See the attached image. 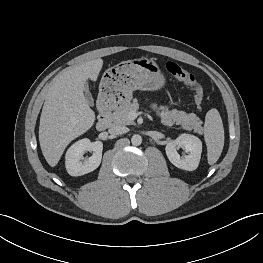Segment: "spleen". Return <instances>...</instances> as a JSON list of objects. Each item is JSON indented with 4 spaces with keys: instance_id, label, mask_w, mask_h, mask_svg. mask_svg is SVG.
Here are the masks:
<instances>
[{
    "instance_id": "spleen-1",
    "label": "spleen",
    "mask_w": 263,
    "mask_h": 263,
    "mask_svg": "<svg viewBox=\"0 0 263 263\" xmlns=\"http://www.w3.org/2000/svg\"><path fill=\"white\" fill-rule=\"evenodd\" d=\"M204 139L207 146V159L213 165L219 159L224 146V128L217 109L212 108L206 113Z\"/></svg>"
}]
</instances>
